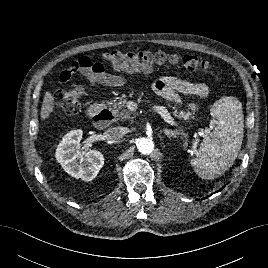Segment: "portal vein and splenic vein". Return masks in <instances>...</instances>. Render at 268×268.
Masks as SVG:
<instances>
[{"label":"portal vein and splenic vein","instance_id":"1","mask_svg":"<svg viewBox=\"0 0 268 268\" xmlns=\"http://www.w3.org/2000/svg\"><path fill=\"white\" fill-rule=\"evenodd\" d=\"M154 111L158 113L164 120L170 125H176L173 117L169 114L168 110L164 106H154Z\"/></svg>","mask_w":268,"mask_h":268}]
</instances>
